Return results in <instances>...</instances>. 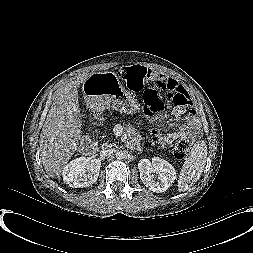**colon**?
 Instances as JSON below:
<instances>
[{
	"label": "colon",
	"instance_id": "5ec220e1",
	"mask_svg": "<svg viewBox=\"0 0 253 253\" xmlns=\"http://www.w3.org/2000/svg\"><path fill=\"white\" fill-rule=\"evenodd\" d=\"M120 75L130 91H144L145 112L151 116L159 115L164 110L161 92L167 94L174 106L190 108L192 105L189 95L182 87H172L166 80L145 67H125L120 71ZM193 143L194 137L192 134L180 136L173 146L175 158H185Z\"/></svg>",
	"mask_w": 253,
	"mask_h": 253
}]
</instances>
